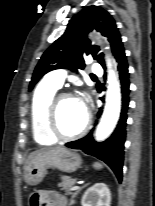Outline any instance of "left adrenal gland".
Here are the masks:
<instances>
[{"label": "left adrenal gland", "instance_id": "obj_1", "mask_svg": "<svg viewBox=\"0 0 155 206\" xmlns=\"http://www.w3.org/2000/svg\"><path fill=\"white\" fill-rule=\"evenodd\" d=\"M87 185H89V183H87V184H85V185H83V187L81 188V189H79L78 191H76L73 195H72V197H71V199H70V203H69V206H71V205H73L74 203H75V197L78 195V193L82 190V189H84Z\"/></svg>", "mask_w": 155, "mask_h": 206}]
</instances>
